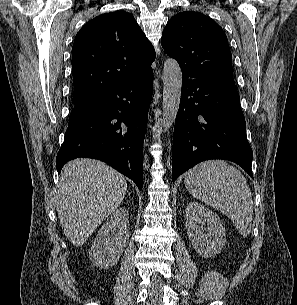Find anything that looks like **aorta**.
<instances>
[{
    "mask_svg": "<svg viewBox=\"0 0 297 305\" xmlns=\"http://www.w3.org/2000/svg\"><path fill=\"white\" fill-rule=\"evenodd\" d=\"M182 71L175 59L168 58L163 68V127L173 126L180 105Z\"/></svg>",
    "mask_w": 297,
    "mask_h": 305,
    "instance_id": "762f6f07",
    "label": "aorta"
}]
</instances>
